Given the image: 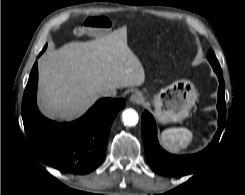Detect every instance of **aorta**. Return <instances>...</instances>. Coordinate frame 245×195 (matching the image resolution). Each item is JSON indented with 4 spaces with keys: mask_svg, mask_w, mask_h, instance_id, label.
<instances>
[{
    "mask_svg": "<svg viewBox=\"0 0 245 195\" xmlns=\"http://www.w3.org/2000/svg\"><path fill=\"white\" fill-rule=\"evenodd\" d=\"M122 119L125 125L135 126L138 123V113L133 109H126L122 113Z\"/></svg>",
    "mask_w": 245,
    "mask_h": 195,
    "instance_id": "obj_1",
    "label": "aorta"
}]
</instances>
